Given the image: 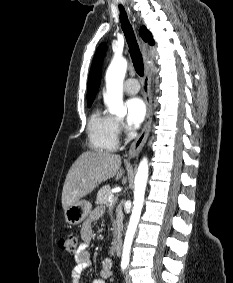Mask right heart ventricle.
Wrapping results in <instances>:
<instances>
[{"label": "right heart ventricle", "instance_id": "right-heart-ventricle-1", "mask_svg": "<svg viewBox=\"0 0 233 283\" xmlns=\"http://www.w3.org/2000/svg\"><path fill=\"white\" fill-rule=\"evenodd\" d=\"M87 135L92 149L112 152L118 145L117 120L102 109L96 108L90 115Z\"/></svg>", "mask_w": 233, "mask_h": 283}]
</instances>
